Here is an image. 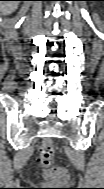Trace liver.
Instances as JSON below:
<instances>
[{"instance_id": "obj_1", "label": "liver", "mask_w": 104, "mask_h": 189, "mask_svg": "<svg viewBox=\"0 0 104 189\" xmlns=\"http://www.w3.org/2000/svg\"><path fill=\"white\" fill-rule=\"evenodd\" d=\"M17 7H18V2L16 1H6L1 3V11L7 15L14 12Z\"/></svg>"}]
</instances>
